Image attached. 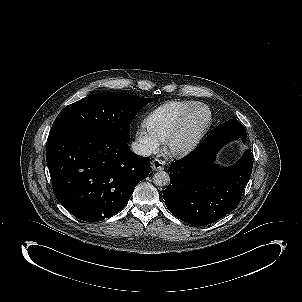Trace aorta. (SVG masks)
I'll return each mask as SVG.
<instances>
[{"label": "aorta", "instance_id": "1", "mask_svg": "<svg viewBox=\"0 0 302 302\" xmlns=\"http://www.w3.org/2000/svg\"><path fill=\"white\" fill-rule=\"evenodd\" d=\"M153 183L156 186H167L170 183V175L165 171H157L153 176Z\"/></svg>", "mask_w": 302, "mask_h": 302}]
</instances>
